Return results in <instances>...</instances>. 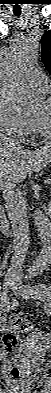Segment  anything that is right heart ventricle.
Here are the masks:
<instances>
[{"label":"right heart ventricle","instance_id":"e07e8e85","mask_svg":"<svg viewBox=\"0 0 51 393\" xmlns=\"http://www.w3.org/2000/svg\"><path fill=\"white\" fill-rule=\"evenodd\" d=\"M31 132H38V129H37L34 121H32V124H31Z\"/></svg>","mask_w":51,"mask_h":393}]
</instances>
